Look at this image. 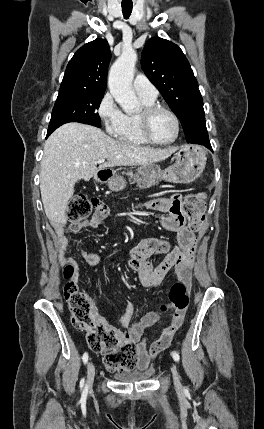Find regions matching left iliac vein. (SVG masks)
I'll return each mask as SVG.
<instances>
[{
	"label": "left iliac vein",
	"mask_w": 264,
	"mask_h": 429,
	"mask_svg": "<svg viewBox=\"0 0 264 429\" xmlns=\"http://www.w3.org/2000/svg\"><path fill=\"white\" fill-rule=\"evenodd\" d=\"M171 372L173 375V380H174L175 385H180V375H179V372L177 370L176 365H173L171 367Z\"/></svg>",
	"instance_id": "obj_1"
}]
</instances>
